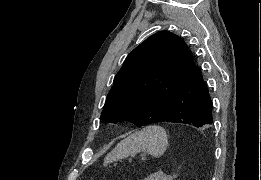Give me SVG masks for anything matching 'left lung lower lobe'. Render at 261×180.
I'll return each instance as SVG.
<instances>
[{
    "label": "left lung lower lobe",
    "instance_id": "obj_1",
    "mask_svg": "<svg viewBox=\"0 0 261 180\" xmlns=\"http://www.w3.org/2000/svg\"><path fill=\"white\" fill-rule=\"evenodd\" d=\"M158 122L184 123L195 127H210L213 124V105L199 67H194L152 123Z\"/></svg>",
    "mask_w": 261,
    "mask_h": 180
}]
</instances>
